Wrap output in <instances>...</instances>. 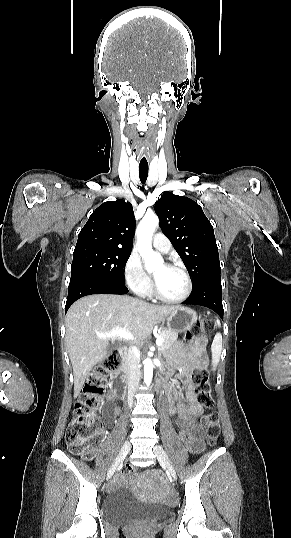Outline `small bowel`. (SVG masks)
Masks as SVG:
<instances>
[{
  "label": "small bowel",
  "mask_w": 291,
  "mask_h": 538,
  "mask_svg": "<svg viewBox=\"0 0 291 538\" xmlns=\"http://www.w3.org/2000/svg\"><path fill=\"white\" fill-rule=\"evenodd\" d=\"M203 340L198 342V351L202 346ZM196 353L184 352L176 359L174 369L178 371L185 390L182 398L183 403L178 402V395L169 385H163L169 401L168 413L178 415L177 425L179 427V438L184 442L186 450L191 454H197L204 447V432L196 422V416L200 415L203 407L196 402V391L190 381L191 373L194 367ZM111 384L108 387L106 396L105 417L107 424L112 422L113 417L120 414V408L117 405V397L112 391Z\"/></svg>",
  "instance_id": "1"
}]
</instances>
